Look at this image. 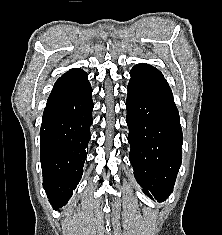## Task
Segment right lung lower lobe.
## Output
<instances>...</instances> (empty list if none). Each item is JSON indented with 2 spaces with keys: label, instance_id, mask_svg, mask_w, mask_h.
<instances>
[{
  "label": "right lung lower lobe",
  "instance_id": "1",
  "mask_svg": "<svg viewBox=\"0 0 222 235\" xmlns=\"http://www.w3.org/2000/svg\"><path fill=\"white\" fill-rule=\"evenodd\" d=\"M83 70L54 84L40 129L43 187L54 209L67 204L83 174L90 140L92 88Z\"/></svg>",
  "mask_w": 222,
  "mask_h": 235
}]
</instances>
